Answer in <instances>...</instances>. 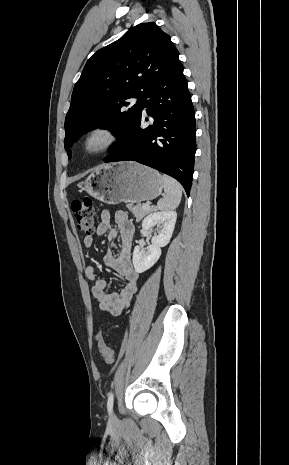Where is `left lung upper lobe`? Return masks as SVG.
<instances>
[{"label": "left lung upper lobe", "mask_w": 289, "mask_h": 465, "mask_svg": "<svg viewBox=\"0 0 289 465\" xmlns=\"http://www.w3.org/2000/svg\"><path fill=\"white\" fill-rule=\"evenodd\" d=\"M180 66L170 36L154 22L138 24L98 50L74 86L65 119V149L83 133L109 124L118 137L115 151L140 115L143 95ZM132 98L138 100L129 107Z\"/></svg>", "instance_id": "5c2ea615"}]
</instances>
